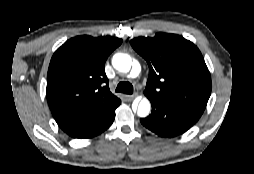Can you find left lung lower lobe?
<instances>
[{
  "label": "left lung lower lobe",
  "mask_w": 254,
  "mask_h": 174,
  "mask_svg": "<svg viewBox=\"0 0 254 174\" xmlns=\"http://www.w3.org/2000/svg\"><path fill=\"white\" fill-rule=\"evenodd\" d=\"M152 113L140 122L149 130L162 137H175L190 129L201 117L185 108L173 107L159 100L149 99Z\"/></svg>",
  "instance_id": "left-lung-lower-lobe-1"
}]
</instances>
